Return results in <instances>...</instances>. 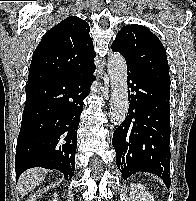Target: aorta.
Listing matches in <instances>:
<instances>
[{"label":"aorta","mask_w":196,"mask_h":201,"mask_svg":"<svg viewBox=\"0 0 196 201\" xmlns=\"http://www.w3.org/2000/svg\"><path fill=\"white\" fill-rule=\"evenodd\" d=\"M107 68L111 84V122L119 126L125 120L129 108L126 61L120 53H112Z\"/></svg>","instance_id":"762f6f07"}]
</instances>
